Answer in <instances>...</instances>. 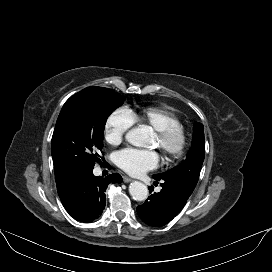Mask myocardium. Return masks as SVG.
I'll use <instances>...</instances> for the list:
<instances>
[{
  "label": "myocardium",
  "mask_w": 272,
  "mask_h": 272,
  "mask_svg": "<svg viewBox=\"0 0 272 272\" xmlns=\"http://www.w3.org/2000/svg\"><path fill=\"white\" fill-rule=\"evenodd\" d=\"M154 136L166 161L175 162L185 153L188 145V134L182 126L155 131Z\"/></svg>",
  "instance_id": "1"
}]
</instances>
